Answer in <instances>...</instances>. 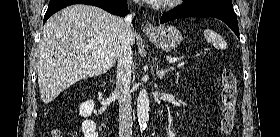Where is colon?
Masks as SVG:
<instances>
[{"mask_svg": "<svg viewBox=\"0 0 280 137\" xmlns=\"http://www.w3.org/2000/svg\"><path fill=\"white\" fill-rule=\"evenodd\" d=\"M222 130L230 134L235 125L237 102V79L231 69H224L221 74Z\"/></svg>", "mask_w": 280, "mask_h": 137, "instance_id": "1", "label": "colon"}]
</instances>
